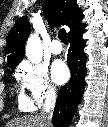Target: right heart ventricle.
I'll use <instances>...</instances> for the list:
<instances>
[{
    "mask_svg": "<svg viewBox=\"0 0 108 127\" xmlns=\"http://www.w3.org/2000/svg\"><path fill=\"white\" fill-rule=\"evenodd\" d=\"M18 104H19L20 109L25 111V112H30V111L34 110V105L23 94H19V96H18Z\"/></svg>",
    "mask_w": 108,
    "mask_h": 127,
    "instance_id": "1",
    "label": "right heart ventricle"
}]
</instances>
